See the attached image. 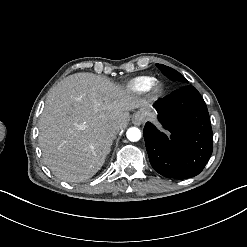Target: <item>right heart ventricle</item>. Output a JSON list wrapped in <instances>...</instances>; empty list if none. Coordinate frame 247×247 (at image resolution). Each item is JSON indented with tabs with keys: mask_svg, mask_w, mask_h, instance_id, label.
I'll return each instance as SVG.
<instances>
[{
	"mask_svg": "<svg viewBox=\"0 0 247 247\" xmlns=\"http://www.w3.org/2000/svg\"><path fill=\"white\" fill-rule=\"evenodd\" d=\"M157 81L153 76H140L132 79L127 84V90L131 93L141 95L149 90V88Z\"/></svg>",
	"mask_w": 247,
	"mask_h": 247,
	"instance_id": "obj_1",
	"label": "right heart ventricle"
}]
</instances>
